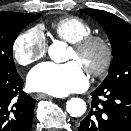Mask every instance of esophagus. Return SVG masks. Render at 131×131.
Listing matches in <instances>:
<instances>
[{"label":"esophagus","mask_w":131,"mask_h":131,"mask_svg":"<svg viewBox=\"0 0 131 131\" xmlns=\"http://www.w3.org/2000/svg\"><path fill=\"white\" fill-rule=\"evenodd\" d=\"M35 96L39 100L52 98L50 95H47V94H44V93H37Z\"/></svg>","instance_id":"34e87169"}]
</instances>
